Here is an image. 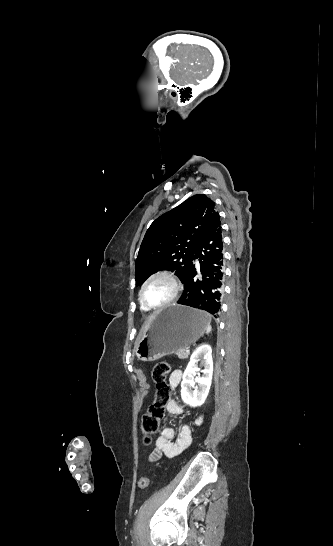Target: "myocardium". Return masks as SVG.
<instances>
[{"mask_svg": "<svg viewBox=\"0 0 333 546\" xmlns=\"http://www.w3.org/2000/svg\"><path fill=\"white\" fill-rule=\"evenodd\" d=\"M156 278H165L167 279L168 281H170V283L172 284L173 286V294L172 296L167 300L165 301L164 303L160 304V305H156V306H152V305H149L145 298H144V290L145 288L147 287V285L154 279ZM182 290V284L180 282V280L178 279V277L171 271L169 270H159V271H156L154 273H152L151 275H149L146 280L143 282L141 288H140V291H139V300H140V303L148 308V309H151V310H154V309H161V308H164L166 306H169L170 304H172L176 299L177 297L179 296L180 292Z\"/></svg>", "mask_w": 333, "mask_h": 546, "instance_id": "obj_1", "label": "myocardium"}]
</instances>
